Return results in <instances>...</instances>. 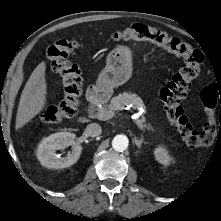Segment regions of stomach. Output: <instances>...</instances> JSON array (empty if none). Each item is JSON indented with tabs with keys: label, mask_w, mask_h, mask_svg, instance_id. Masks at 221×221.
Instances as JSON below:
<instances>
[{
	"label": "stomach",
	"mask_w": 221,
	"mask_h": 221,
	"mask_svg": "<svg viewBox=\"0 0 221 221\" xmlns=\"http://www.w3.org/2000/svg\"><path fill=\"white\" fill-rule=\"evenodd\" d=\"M132 73V52L126 46H117L107 56L106 66L98 76L97 86L112 90L126 83Z\"/></svg>",
	"instance_id": "0dacf381"
}]
</instances>
